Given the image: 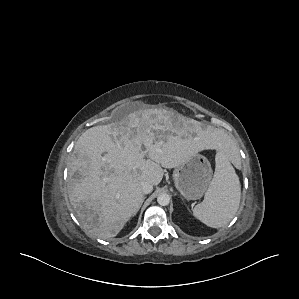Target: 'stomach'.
<instances>
[{
    "instance_id": "1",
    "label": "stomach",
    "mask_w": 299,
    "mask_h": 299,
    "mask_svg": "<svg viewBox=\"0 0 299 299\" xmlns=\"http://www.w3.org/2000/svg\"><path fill=\"white\" fill-rule=\"evenodd\" d=\"M173 179L185 199L197 200L206 193L212 181L210 162L202 155H195L174 169Z\"/></svg>"
}]
</instances>
